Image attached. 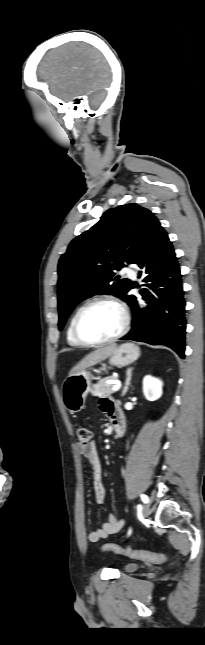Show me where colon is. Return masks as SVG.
I'll list each match as a JSON object with an SVG mask.
<instances>
[{"instance_id": "5ec220e1", "label": "colon", "mask_w": 205, "mask_h": 645, "mask_svg": "<svg viewBox=\"0 0 205 645\" xmlns=\"http://www.w3.org/2000/svg\"><path fill=\"white\" fill-rule=\"evenodd\" d=\"M75 433L81 445L87 446L91 440V431L82 424L75 425ZM102 552H114L134 559H140L151 563H162L165 561V555L146 550L123 548L119 545L108 543L101 547Z\"/></svg>"}]
</instances>
